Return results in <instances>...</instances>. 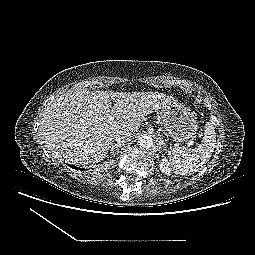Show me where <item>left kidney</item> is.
I'll return each mask as SVG.
<instances>
[{
	"instance_id": "left-kidney-1",
	"label": "left kidney",
	"mask_w": 255,
	"mask_h": 255,
	"mask_svg": "<svg viewBox=\"0 0 255 255\" xmlns=\"http://www.w3.org/2000/svg\"><path fill=\"white\" fill-rule=\"evenodd\" d=\"M160 170L165 175H170L171 174L170 164H169V162L167 161L166 158L161 159Z\"/></svg>"
}]
</instances>
